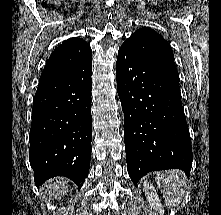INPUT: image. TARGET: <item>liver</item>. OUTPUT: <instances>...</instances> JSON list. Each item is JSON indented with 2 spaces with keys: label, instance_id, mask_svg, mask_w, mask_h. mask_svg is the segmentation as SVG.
I'll return each mask as SVG.
<instances>
[{
  "label": "liver",
  "instance_id": "obj_1",
  "mask_svg": "<svg viewBox=\"0 0 221 215\" xmlns=\"http://www.w3.org/2000/svg\"><path fill=\"white\" fill-rule=\"evenodd\" d=\"M68 180L65 178H53L50 179L44 186H42V190L49 197H53L54 199H61L68 191Z\"/></svg>",
  "mask_w": 221,
  "mask_h": 215
}]
</instances>
